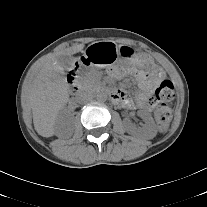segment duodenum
<instances>
[{
	"label": "duodenum",
	"mask_w": 207,
	"mask_h": 207,
	"mask_svg": "<svg viewBox=\"0 0 207 207\" xmlns=\"http://www.w3.org/2000/svg\"><path fill=\"white\" fill-rule=\"evenodd\" d=\"M77 72H78L77 70H73L67 75V81H68V84L70 86V91L74 95H78L81 91L80 87L77 83ZM97 91L101 92V93L109 94L110 97L114 100L116 98V92L108 89L107 87L99 86V87H97Z\"/></svg>",
	"instance_id": "obj_1"
}]
</instances>
